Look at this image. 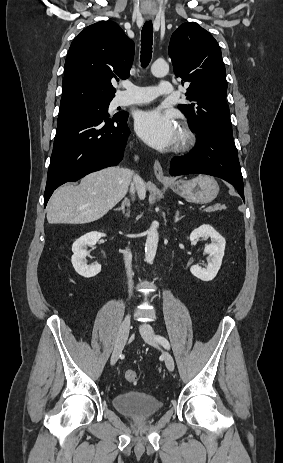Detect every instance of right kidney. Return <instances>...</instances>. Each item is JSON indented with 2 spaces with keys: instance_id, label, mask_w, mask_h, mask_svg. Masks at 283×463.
Segmentation results:
<instances>
[{
  "instance_id": "ca27d5eb",
  "label": "right kidney",
  "mask_w": 283,
  "mask_h": 463,
  "mask_svg": "<svg viewBox=\"0 0 283 463\" xmlns=\"http://www.w3.org/2000/svg\"><path fill=\"white\" fill-rule=\"evenodd\" d=\"M106 235L100 232H89L78 238L72 245V265L75 271L86 278L94 277L101 271L100 264L87 265L86 256L88 254L86 247L94 246L101 237Z\"/></svg>"
}]
</instances>
